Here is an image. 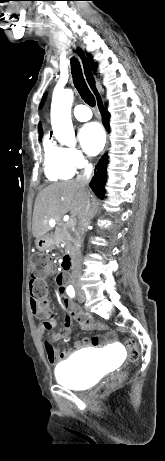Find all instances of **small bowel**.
<instances>
[{
    "instance_id": "small-bowel-1",
    "label": "small bowel",
    "mask_w": 165,
    "mask_h": 461,
    "mask_svg": "<svg viewBox=\"0 0 165 461\" xmlns=\"http://www.w3.org/2000/svg\"><path fill=\"white\" fill-rule=\"evenodd\" d=\"M66 273L64 271H57L55 274V284L58 288L59 296L62 298V306L67 311V314L64 318V323L62 327L59 329L58 332H52V330L56 326V319L54 317L53 312L49 309L48 311L41 308L36 301L31 298L30 299V308L32 315L41 320L40 326L38 328V335L39 337H43L46 333L49 332L50 339L52 341H59L61 339L66 338L70 334L71 325L73 319H77L83 328L85 329H92L94 328L93 324L90 323L88 320L84 319L79 312H77L71 302L65 298L66 296V289L65 287V279ZM98 329L103 330L104 326H98ZM114 335L112 333L107 334L108 339H112ZM100 340L98 338H83L77 341L73 348L66 349L63 351L56 350L51 344L46 343L44 349L47 354V358L51 364H57L61 360H64L71 356V354L84 347H88L90 345H98Z\"/></svg>"
}]
</instances>
